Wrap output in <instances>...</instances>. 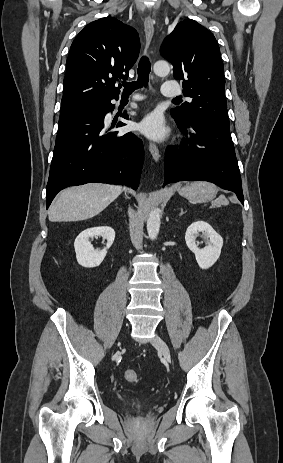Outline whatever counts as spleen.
<instances>
[{
	"instance_id": "obj_1",
	"label": "spleen",
	"mask_w": 283,
	"mask_h": 463,
	"mask_svg": "<svg viewBox=\"0 0 283 463\" xmlns=\"http://www.w3.org/2000/svg\"><path fill=\"white\" fill-rule=\"evenodd\" d=\"M216 201L221 202L222 204L227 203V199L223 195H221Z\"/></svg>"
}]
</instances>
